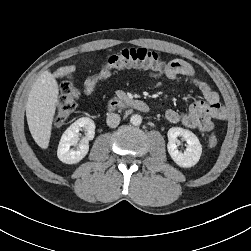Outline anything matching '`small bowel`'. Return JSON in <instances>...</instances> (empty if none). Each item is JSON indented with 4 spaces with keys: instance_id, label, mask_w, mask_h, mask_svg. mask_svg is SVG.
<instances>
[{
    "instance_id": "1",
    "label": "small bowel",
    "mask_w": 251,
    "mask_h": 251,
    "mask_svg": "<svg viewBox=\"0 0 251 251\" xmlns=\"http://www.w3.org/2000/svg\"><path fill=\"white\" fill-rule=\"evenodd\" d=\"M74 66L69 65L60 68L58 78L73 71ZM152 77L165 76L170 80L184 79L193 84L202 94L203 99L191 103L189 110L180 114L174 109H168L165 113L166 119L171 123L181 122L185 127L206 133L213 129V121L225 118V112L219 102L218 94L203 80H201L194 67L182 59H174L168 63L167 68L162 72H149ZM108 76L106 71L91 76L83 85L82 92L91 94L100 81Z\"/></svg>"
}]
</instances>
